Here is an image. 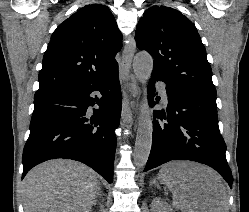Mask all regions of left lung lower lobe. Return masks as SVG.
<instances>
[{
	"label": "left lung lower lobe",
	"mask_w": 249,
	"mask_h": 212,
	"mask_svg": "<svg viewBox=\"0 0 249 212\" xmlns=\"http://www.w3.org/2000/svg\"><path fill=\"white\" fill-rule=\"evenodd\" d=\"M166 83V111L153 112V138L144 172L171 160H190L206 164L232 188V174L226 161V145L219 132L216 95L188 86L173 84L152 72L148 100L154 101L155 81Z\"/></svg>",
	"instance_id": "obj_1"
}]
</instances>
